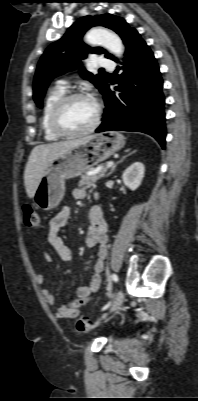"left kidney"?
<instances>
[{
    "mask_svg": "<svg viewBox=\"0 0 198 401\" xmlns=\"http://www.w3.org/2000/svg\"><path fill=\"white\" fill-rule=\"evenodd\" d=\"M145 167L141 162H135L123 173L124 184L132 191L136 190L144 177Z\"/></svg>",
    "mask_w": 198,
    "mask_h": 401,
    "instance_id": "5707ae66",
    "label": "left kidney"
}]
</instances>
